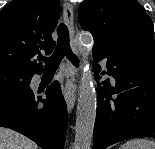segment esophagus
Wrapping results in <instances>:
<instances>
[{
    "mask_svg": "<svg viewBox=\"0 0 155 149\" xmlns=\"http://www.w3.org/2000/svg\"><path fill=\"white\" fill-rule=\"evenodd\" d=\"M63 9H64V20L70 32L72 50L74 53H78L77 40H76L75 29H74L73 6L69 2H65L63 4ZM76 75H77L76 67L70 61L67 60L64 96H65V101L69 112L72 111L76 101V91H77Z\"/></svg>",
    "mask_w": 155,
    "mask_h": 149,
    "instance_id": "esophagus-1",
    "label": "esophagus"
}]
</instances>
